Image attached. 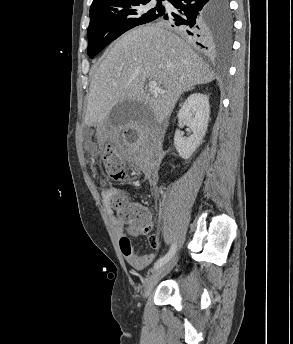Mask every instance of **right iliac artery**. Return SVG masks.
Masks as SVG:
<instances>
[{
    "mask_svg": "<svg viewBox=\"0 0 293 344\" xmlns=\"http://www.w3.org/2000/svg\"><path fill=\"white\" fill-rule=\"evenodd\" d=\"M176 244H172L169 252L164 255L163 257H161L155 264H154V267L153 269L156 270L158 268H160L161 266H163L167 261H169L170 258H172V256L175 254L176 252Z\"/></svg>",
    "mask_w": 293,
    "mask_h": 344,
    "instance_id": "obj_1",
    "label": "right iliac artery"
}]
</instances>
